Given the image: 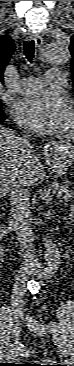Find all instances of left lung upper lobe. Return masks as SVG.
<instances>
[{"instance_id":"left-lung-upper-lobe-1","label":"left lung upper lobe","mask_w":74,"mask_h":366,"mask_svg":"<svg viewBox=\"0 0 74 366\" xmlns=\"http://www.w3.org/2000/svg\"><path fill=\"white\" fill-rule=\"evenodd\" d=\"M69 49L72 54L71 71H72V82H73V87H74V37L71 38V44H70Z\"/></svg>"}]
</instances>
